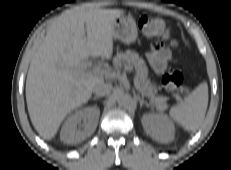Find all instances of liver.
Segmentation results:
<instances>
[{"label": "liver", "mask_w": 231, "mask_h": 170, "mask_svg": "<svg viewBox=\"0 0 231 170\" xmlns=\"http://www.w3.org/2000/svg\"><path fill=\"white\" fill-rule=\"evenodd\" d=\"M123 14L119 9L77 6L48 29L26 79L29 116L44 139L51 140L65 117L85 104L102 81L100 68L86 71L83 62L90 55L111 58L114 24Z\"/></svg>", "instance_id": "6515ba94"}]
</instances>
